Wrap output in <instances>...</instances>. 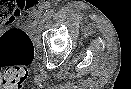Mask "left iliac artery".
I'll use <instances>...</instances> for the list:
<instances>
[{
  "label": "left iliac artery",
  "instance_id": "obj_1",
  "mask_svg": "<svg viewBox=\"0 0 131 89\" xmlns=\"http://www.w3.org/2000/svg\"><path fill=\"white\" fill-rule=\"evenodd\" d=\"M53 13H54L53 9L46 10V12L44 14L45 15V20L50 19L51 16L53 15ZM45 20L43 19L42 23H44Z\"/></svg>",
  "mask_w": 131,
  "mask_h": 89
}]
</instances>
